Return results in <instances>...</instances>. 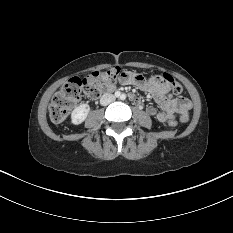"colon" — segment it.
Returning <instances> with one entry per match:
<instances>
[{
    "instance_id": "5ec220e1",
    "label": "colon",
    "mask_w": 233,
    "mask_h": 233,
    "mask_svg": "<svg viewBox=\"0 0 233 233\" xmlns=\"http://www.w3.org/2000/svg\"><path fill=\"white\" fill-rule=\"evenodd\" d=\"M119 74H121L120 68L113 67L106 71L93 72L84 78L74 77L68 80L54 95L50 103L51 120L56 123L62 122L83 96L96 98L101 91L112 89ZM146 76L153 77L154 75L152 72H147ZM155 78L166 83L175 95H179L183 90L182 86L169 74L158 75ZM168 125L174 128L177 123L175 120H170Z\"/></svg>"
}]
</instances>
